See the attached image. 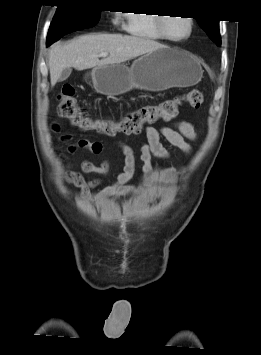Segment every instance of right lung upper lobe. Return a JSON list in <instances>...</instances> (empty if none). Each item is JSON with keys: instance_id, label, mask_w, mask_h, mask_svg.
Instances as JSON below:
<instances>
[{"instance_id": "obj_1", "label": "right lung upper lobe", "mask_w": 261, "mask_h": 355, "mask_svg": "<svg viewBox=\"0 0 261 355\" xmlns=\"http://www.w3.org/2000/svg\"><path fill=\"white\" fill-rule=\"evenodd\" d=\"M61 2L77 1V0H60Z\"/></svg>"}]
</instances>
